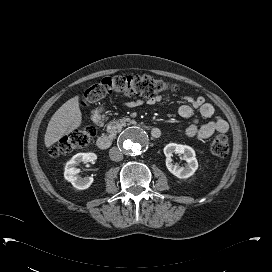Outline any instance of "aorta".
Masks as SVG:
<instances>
[{"label": "aorta", "mask_w": 272, "mask_h": 272, "mask_svg": "<svg viewBox=\"0 0 272 272\" xmlns=\"http://www.w3.org/2000/svg\"><path fill=\"white\" fill-rule=\"evenodd\" d=\"M120 146L129 155H139L149 145L147 133L140 127L128 128L120 137Z\"/></svg>", "instance_id": "762f6f07"}]
</instances>
